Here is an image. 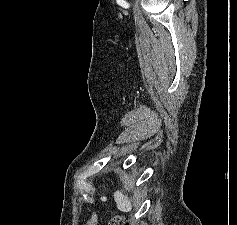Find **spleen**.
I'll use <instances>...</instances> for the list:
<instances>
[{
	"mask_svg": "<svg viewBox=\"0 0 237 225\" xmlns=\"http://www.w3.org/2000/svg\"><path fill=\"white\" fill-rule=\"evenodd\" d=\"M114 200L117 204V208L122 212H130L132 210V204L127 196H124L121 192L116 191L114 193Z\"/></svg>",
	"mask_w": 237,
	"mask_h": 225,
	"instance_id": "3e777b00",
	"label": "spleen"
}]
</instances>
